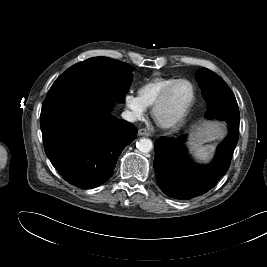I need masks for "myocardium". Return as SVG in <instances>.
<instances>
[{
  "label": "myocardium",
  "mask_w": 267,
  "mask_h": 267,
  "mask_svg": "<svg viewBox=\"0 0 267 267\" xmlns=\"http://www.w3.org/2000/svg\"><path fill=\"white\" fill-rule=\"evenodd\" d=\"M181 83H187L188 85H190L191 89H192V96L191 99L189 101V103L187 104V106L185 107V109L183 110V112L174 120L171 121H162L159 119V110L160 108L165 104V102L167 101L170 93L172 92V90ZM195 97H196V91H195V87L193 85V83L187 79H177L176 81L172 82L171 84H169L161 93L160 95L157 97V99L155 100V102L152 105V117L154 119V121L162 128L165 129H176L178 127H180L184 121L186 120L194 102H195Z\"/></svg>",
  "instance_id": "1"
}]
</instances>
